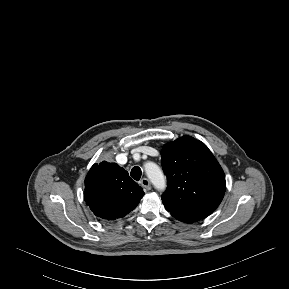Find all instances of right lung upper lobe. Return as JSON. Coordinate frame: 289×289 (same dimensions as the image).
Wrapping results in <instances>:
<instances>
[{"label": "right lung upper lobe", "mask_w": 289, "mask_h": 289, "mask_svg": "<svg viewBox=\"0 0 289 289\" xmlns=\"http://www.w3.org/2000/svg\"><path fill=\"white\" fill-rule=\"evenodd\" d=\"M84 200L93 213L105 220L124 217L144 195L128 172L116 163L94 164L85 178Z\"/></svg>", "instance_id": "cb5924a9"}]
</instances>
